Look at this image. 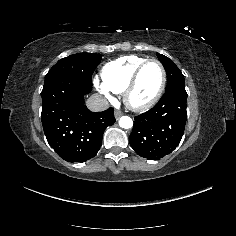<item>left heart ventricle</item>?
<instances>
[{"label":"left heart ventricle","instance_id":"b2bd125f","mask_svg":"<svg viewBox=\"0 0 236 236\" xmlns=\"http://www.w3.org/2000/svg\"><path fill=\"white\" fill-rule=\"evenodd\" d=\"M162 71L158 64L150 63L141 72L132 91L131 100L135 103L149 101L157 92L161 83Z\"/></svg>","mask_w":236,"mask_h":236}]
</instances>
